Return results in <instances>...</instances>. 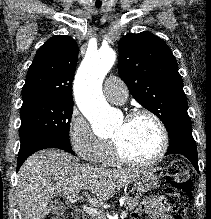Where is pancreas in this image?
Returning <instances> with one entry per match:
<instances>
[{
    "mask_svg": "<svg viewBox=\"0 0 211 219\" xmlns=\"http://www.w3.org/2000/svg\"><path fill=\"white\" fill-rule=\"evenodd\" d=\"M122 199L124 200V206H125L126 211H130L138 206L140 196H136L132 198L126 195V196H123ZM95 219H106V217L103 213H100L99 216L96 217Z\"/></svg>",
    "mask_w": 211,
    "mask_h": 219,
    "instance_id": "cf45deb5",
    "label": "pancreas"
}]
</instances>
